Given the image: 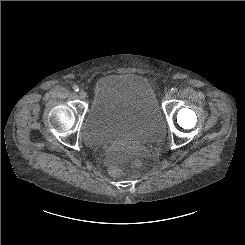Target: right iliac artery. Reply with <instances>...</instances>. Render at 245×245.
I'll use <instances>...</instances> for the list:
<instances>
[{
    "label": "right iliac artery",
    "instance_id": "obj_1",
    "mask_svg": "<svg viewBox=\"0 0 245 245\" xmlns=\"http://www.w3.org/2000/svg\"><path fill=\"white\" fill-rule=\"evenodd\" d=\"M73 90L77 92V91H79V87L77 85H74Z\"/></svg>",
    "mask_w": 245,
    "mask_h": 245
}]
</instances>
